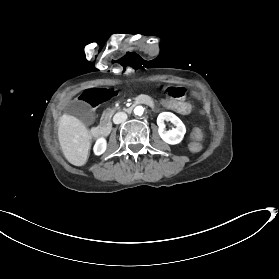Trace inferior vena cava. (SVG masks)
<instances>
[{
	"label": "inferior vena cava",
	"instance_id": "602c4592",
	"mask_svg": "<svg viewBox=\"0 0 279 279\" xmlns=\"http://www.w3.org/2000/svg\"><path fill=\"white\" fill-rule=\"evenodd\" d=\"M126 119H127V115L123 112H119L114 116L113 121L115 124H119L121 122L123 123V121Z\"/></svg>",
	"mask_w": 279,
	"mask_h": 279
}]
</instances>
